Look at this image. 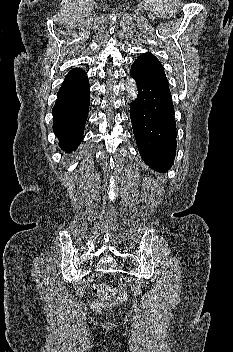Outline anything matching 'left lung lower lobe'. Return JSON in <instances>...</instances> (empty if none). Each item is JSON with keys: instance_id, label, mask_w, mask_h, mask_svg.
I'll return each mask as SVG.
<instances>
[{"instance_id": "obj_1", "label": "left lung lower lobe", "mask_w": 233, "mask_h": 352, "mask_svg": "<svg viewBox=\"0 0 233 352\" xmlns=\"http://www.w3.org/2000/svg\"><path fill=\"white\" fill-rule=\"evenodd\" d=\"M131 76L138 89L130 117L139 152L153 170L167 172L176 154V122L168 80L137 60L131 66Z\"/></svg>"}]
</instances>
